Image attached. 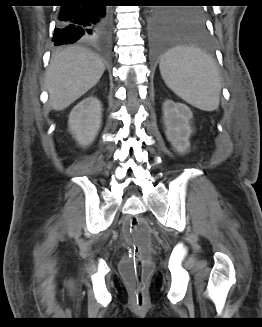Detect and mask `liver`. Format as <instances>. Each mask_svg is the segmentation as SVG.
Returning <instances> with one entry per match:
<instances>
[{
  "mask_svg": "<svg viewBox=\"0 0 262 327\" xmlns=\"http://www.w3.org/2000/svg\"><path fill=\"white\" fill-rule=\"evenodd\" d=\"M105 66L98 55L78 46L52 54L45 85L52 109L60 111L98 83Z\"/></svg>",
  "mask_w": 262,
  "mask_h": 327,
  "instance_id": "6515ba94",
  "label": "liver"
}]
</instances>
